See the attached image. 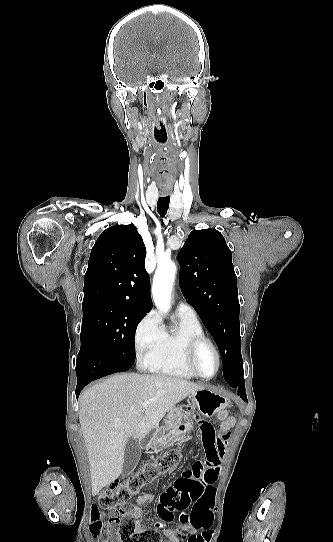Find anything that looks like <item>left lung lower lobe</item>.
I'll return each instance as SVG.
<instances>
[{
	"mask_svg": "<svg viewBox=\"0 0 333 542\" xmlns=\"http://www.w3.org/2000/svg\"><path fill=\"white\" fill-rule=\"evenodd\" d=\"M225 381L231 387L236 388L238 395H240L241 398L244 401H247V397H246V393H245V383H244L243 374L232 377V378H229V379H225Z\"/></svg>",
	"mask_w": 333,
	"mask_h": 542,
	"instance_id": "1",
	"label": "left lung lower lobe"
}]
</instances>
